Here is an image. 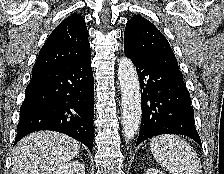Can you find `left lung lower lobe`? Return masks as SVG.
Here are the masks:
<instances>
[{"label": "left lung lower lobe", "mask_w": 224, "mask_h": 174, "mask_svg": "<svg viewBox=\"0 0 224 174\" xmlns=\"http://www.w3.org/2000/svg\"><path fill=\"white\" fill-rule=\"evenodd\" d=\"M125 55L136 66L142 90V123L136 146L161 134L186 135L201 145L194 126L190 94L179 68L165 61Z\"/></svg>", "instance_id": "0a47b994"}]
</instances>
